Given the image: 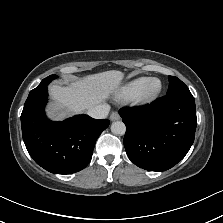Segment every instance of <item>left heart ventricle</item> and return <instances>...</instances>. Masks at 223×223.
Returning a JSON list of instances; mask_svg holds the SVG:
<instances>
[{"label": "left heart ventricle", "instance_id": "obj_1", "mask_svg": "<svg viewBox=\"0 0 223 223\" xmlns=\"http://www.w3.org/2000/svg\"><path fill=\"white\" fill-rule=\"evenodd\" d=\"M154 86H155V84H154V83L150 85V87H151V88H153Z\"/></svg>", "mask_w": 223, "mask_h": 223}]
</instances>
